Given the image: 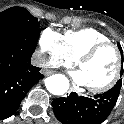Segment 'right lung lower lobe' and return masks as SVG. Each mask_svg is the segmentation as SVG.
<instances>
[{
	"instance_id": "right-lung-lower-lobe-1",
	"label": "right lung lower lobe",
	"mask_w": 124,
	"mask_h": 124,
	"mask_svg": "<svg viewBox=\"0 0 124 124\" xmlns=\"http://www.w3.org/2000/svg\"><path fill=\"white\" fill-rule=\"evenodd\" d=\"M40 30L0 32V120L12 116L43 75L31 64Z\"/></svg>"
}]
</instances>
